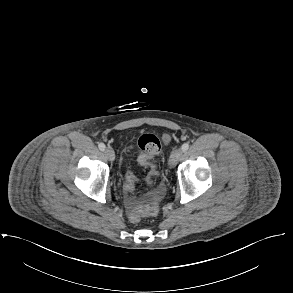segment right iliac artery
Instances as JSON below:
<instances>
[{"label": "right iliac artery", "instance_id": "82829eb1", "mask_svg": "<svg viewBox=\"0 0 293 293\" xmlns=\"http://www.w3.org/2000/svg\"><path fill=\"white\" fill-rule=\"evenodd\" d=\"M98 147H99V149L101 151H104L105 150V144L104 143H99Z\"/></svg>", "mask_w": 293, "mask_h": 293}]
</instances>
